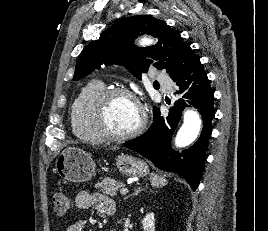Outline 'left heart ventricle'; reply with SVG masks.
Returning a JSON list of instances; mask_svg holds the SVG:
<instances>
[{
	"label": "left heart ventricle",
	"mask_w": 268,
	"mask_h": 231,
	"mask_svg": "<svg viewBox=\"0 0 268 231\" xmlns=\"http://www.w3.org/2000/svg\"><path fill=\"white\" fill-rule=\"evenodd\" d=\"M140 117V109L131 98L119 96L108 103L106 121L112 132L126 133L133 130L139 124Z\"/></svg>",
	"instance_id": "obj_1"
}]
</instances>
